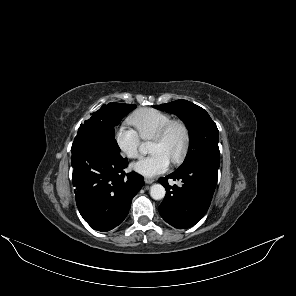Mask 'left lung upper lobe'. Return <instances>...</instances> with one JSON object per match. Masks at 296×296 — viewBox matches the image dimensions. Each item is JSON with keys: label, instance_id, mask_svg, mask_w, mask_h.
Wrapping results in <instances>:
<instances>
[{"label": "left lung upper lobe", "instance_id": "left-lung-upper-lobe-1", "mask_svg": "<svg viewBox=\"0 0 296 296\" xmlns=\"http://www.w3.org/2000/svg\"><path fill=\"white\" fill-rule=\"evenodd\" d=\"M154 107L177 114L190 129L188 153L178 169L201 158L220 156L217 126L203 108L186 100H176Z\"/></svg>", "mask_w": 296, "mask_h": 296}]
</instances>
